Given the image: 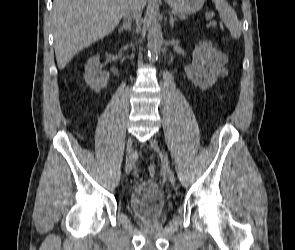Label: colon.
<instances>
[{"label":"colon","mask_w":295,"mask_h":250,"mask_svg":"<svg viewBox=\"0 0 295 250\" xmlns=\"http://www.w3.org/2000/svg\"><path fill=\"white\" fill-rule=\"evenodd\" d=\"M155 170H156V167L154 164H151L150 167H149V174L150 175H154L155 174Z\"/></svg>","instance_id":"colon-1"}]
</instances>
